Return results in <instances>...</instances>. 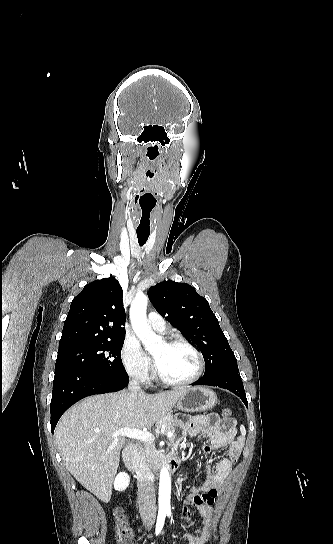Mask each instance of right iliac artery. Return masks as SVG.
<instances>
[{
    "label": "right iliac artery",
    "instance_id": "obj_1",
    "mask_svg": "<svg viewBox=\"0 0 333 544\" xmlns=\"http://www.w3.org/2000/svg\"><path fill=\"white\" fill-rule=\"evenodd\" d=\"M165 517H166L165 512L158 513L157 523H156V528H155L156 535L160 534V532H161V530L163 528V525H164Z\"/></svg>",
    "mask_w": 333,
    "mask_h": 544
}]
</instances>
